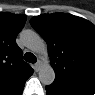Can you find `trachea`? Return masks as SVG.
I'll return each instance as SVG.
<instances>
[{"instance_id":"trachea-1","label":"trachea","mask_w":95,"mask_h":95,"mask_svg":"<svg viewBox=\"0 0 95 95\" xmlns=\"http://www.w3.org/2000/svg\"><path fill=\"white\" fill-rule=\"evenodd\" d=\"M24 60L29 62V63H36L37 58H36V56L34 54H32L30 52H27L24 55Z\"/></svg>"}]
</instances>
